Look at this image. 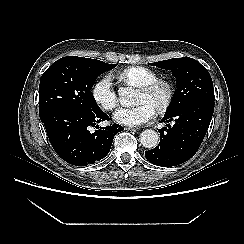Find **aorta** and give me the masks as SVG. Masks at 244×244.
I'll list each match as a JSON object with an SVG mask.
<instances>
[{"instance_id": "762f6f07", "label": "aorta", "mask_w": 244, "mask_h": 244, "mask_svg": "<svg viewBox=\"0 0 244 244\" xmlns=\"http://www.w3.org/2000/svg\"><path fill=\"white\" fill-rule=\"evenodd\" d=\"M119 101L123 106H132L134 104V91L131 88H120L118 90ZM140 142L145 148H154L159 143V135L151 129L143 131L140 135Z\"/></svg>"}]
</instances>
